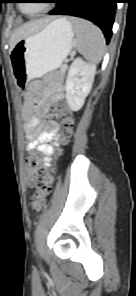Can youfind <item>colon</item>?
<instances>
[{
    "mask_svg": "<svg viewBox=\"0 0 136 296\" xmlns=\"http://www.w3.org/2000/svg\"><path fill=\"white\" fill-rule=\"evenodd\" d=\"M55 114L61 118L62 121V138L65 143L71 136L75 119L73 113L66 107H58ZM40 164V157L37 153H33L28 160L29 167V181L34 183L35 192L32 197V207L34 210L41 209L46 202L48 195L52 189L53 176L52 171H37Z\"/></svg>",
    "mask_w": 136,
    "mask_h": 296,
    "instance_id": "1",
    "label": "colon"
}]
</instances>
